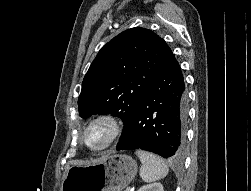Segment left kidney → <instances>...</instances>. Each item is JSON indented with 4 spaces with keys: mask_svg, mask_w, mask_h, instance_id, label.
Returning a JSON list of instances; mask_svg holds the SVG:
<instances>
[{
    "mask_svg": "<svg viewBox=\"0 0 251 191\" xmlns=\"http://www.w3.org/2000/svg\"><path fill=\"white\" fill-rule=\"evenodd\" d=\"M138 191H164L162 183H147L142 185Z\"/></svg>",
    "mask_w": 251,
    "mask_h": 191,
    "instance_id": "5707ae66",
    "label": "left kidney"
}]
</instances>
